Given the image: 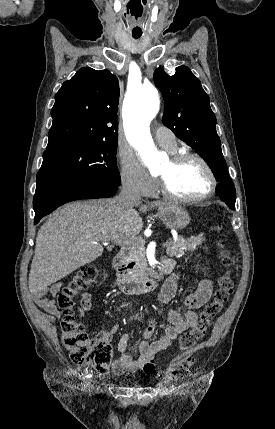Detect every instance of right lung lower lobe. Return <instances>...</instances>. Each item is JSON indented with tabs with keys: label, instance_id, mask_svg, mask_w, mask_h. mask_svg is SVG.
I'll return each instance as SVG.
<instances>
[{
	"label": "right lung lower lobe",
	"instance_id": "98d812e1",
	"mask_svg": "<svg viewBox=\"0 0 275 429\" xmlns=\"http://www.w3.org/2000/svg\"><path fill=\"white\" fill-rule=\"evenodd\" d=\"M118 186L95 179H78L43 189L34 195V222L38 223L42 217L70 201L111 197L117 192Z\"/></svg>",
	"mask_w": 275,
	"mask_h": 429
}]
</instances>
